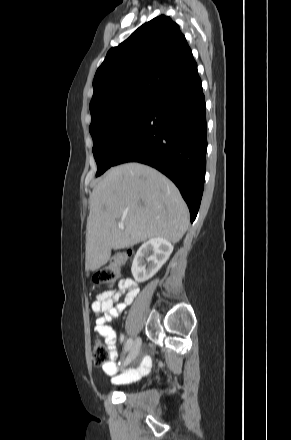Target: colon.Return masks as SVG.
Instances as JSON below:
<instances>
[{
  "label": "colon",
  "instance_id": "5ec220e1",
  "mask_svg": "<svg viewBox=\"0 0 291 440\" xmlns=\"http://www.w3.org/2000/svg\"><path fill=\"white\" fill-rule=\"evenodd\" d=\"M124 264V258L115 257L110 264L100 268L93 275L94 284H113L120 278L121 266ZM92 360L96 365H101L110 360V350L107 345L96 341L92 348Z\"/></svg>",
  "mask_w": 291,
  "mask_h": 440
}]
</instances>
